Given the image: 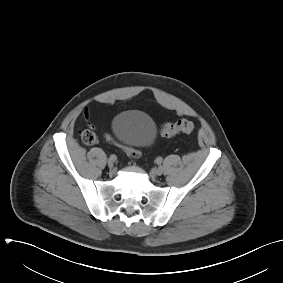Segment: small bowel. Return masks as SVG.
<instances>
[{
	"mask_svg": "<svg viewBox=\"0 0 283 283\" xmlns=\"http://www.w3.org/2000/svg\"><path fill=\"white\" fill-rule=\"evenodd\" d=\"M84 115H85V117H86V118H88V117H89V112H88V110H87V109H85V111H84Z\"/></svg>",
	"mask_w": 283,
	"mask_h": 283,
	"instance_id": "c3829d8e",
	"label": "small bowel"
}]
</instances>
